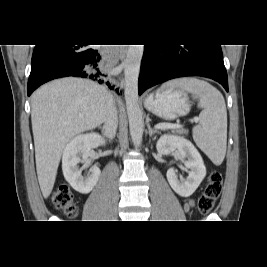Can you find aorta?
<instances>
[{"instance_id": "1", "label": "aorta", "mask_w": 267, "mask_h": 267, "mask_svg": "<svg viewBox=\"0 0 267 267\" xmlns=\"http://www.w3.org/2000/svg\"><path fill=\"white\" fill-rule=\"evenodd\" d=\"M144 45H129L124 61L125 101L129 121L130 135L134 146L141 145L143 135L142 113L138 100V78Z\"/></svg>"}]
</instances>
